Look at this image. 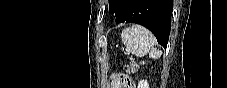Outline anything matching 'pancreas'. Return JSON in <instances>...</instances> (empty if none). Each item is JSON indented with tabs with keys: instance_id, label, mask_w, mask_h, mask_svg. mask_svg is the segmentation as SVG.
I'll return each instance as SVG.
<instances>
[{
	"instance_id": "cf45deb5",
	"label": "pancreas",
	"mask_w": 227,
	"mask_h": 88,
	"mask_svg": "<svg viewBox=\"0 0 227 88\" xmlns=\"http://www.w3.org/2000/svg\"><path fill=\"white\" fill-rule=\"evenodd\" d=\"M138 68H139V65L136 62H134V61L130 62V66L129 65L126 66L127 72H129V73L136 72V70Z\"/></svg>"
}]
</instances>
